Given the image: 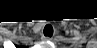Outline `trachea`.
Wrapping results in <instances>:
<instances>
[{
	"label": "trachea",
	"instance_id": "3493384b",
	"mask_svg": "<svg viewBox=\"0 0 97 48\" xmlns=\"http://www.w3.org/2000/svg\"><path fill=\"white\" fill-rule=\"evenodd\" d=\"M44 35L48 37H51L53 35V27L51 25L45 26Z\"/></svg>",
	"mask_w": 97,
	"mask_h": 48
}]
</instances>
